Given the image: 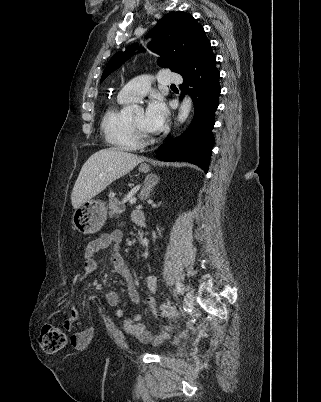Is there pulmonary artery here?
Returning <instances> with one entry per match:
<instances>
[{
    "label": "pulmonary artery",
    "mask_w": 321,
    "mask_h": 402,
    "mask_svg": "<svg viewBox=\"0 0 321 402\" xmlns=\"http://www.w3.org/2000/svg\"><path fill=\"white\" fill-rule=\"evenodd\" d=\"M157 80L160 85H171L180 84L183 78L169 69H164L158 74ZM151 82L152 77L149 75H142L133 79L119 91L118 99L130 102L142 98L149 90Z\"/></svg>",
    "instance_id": "pulmonary-artery-1"
}]
</instances>
